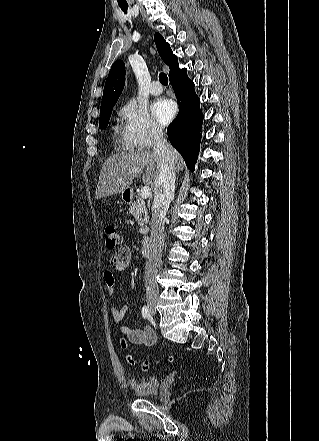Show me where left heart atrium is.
Wrapping results in <instances>:
<instances>
[{"label":"left heart atrium","instance_id":"1","mask_svg":"<svg viewBox=\"0 0 319 441\" xmlns=\"http://www.w3.org/2000/svg\"><path fill=\"white\" fill-rule=\"evenodd\" d=\"M152 113L160 124L166 125L175 113V105L171 100L157 99L152 105Z\"/></svg>","mask_w":319,"mask_h":441}]
</instances>
